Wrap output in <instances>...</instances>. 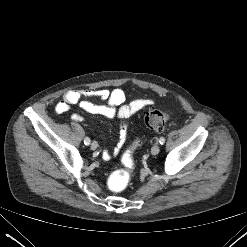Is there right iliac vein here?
Returning a JSON list of instances; mask_svg holds the SVG:
<instances>
[{"label":"right iliac vein","mask_w":247,"mask_h":247,"mask_svg":"<svg viewBox=\"0 0 247 247\" xmlns=\"http://www.w3.org/2000/svg\"><path fill=\"white\" fill-rule=\"evenodd\" d=\"M98 148V143L96 142V141H93L92 143H91V149L92 150H96Z\"/></svg>","instance_id":"right-iliac-vein-1"}]
</instances>
